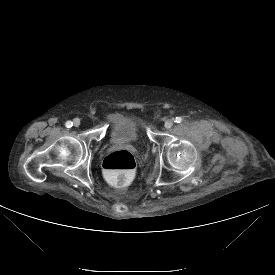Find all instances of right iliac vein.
Wrapping results in <instances>:
<instances>
[{
    "mask_svg": "<svg viewBox=\"0 0 275 275\" xmlns=\"http://www.w3.org/2000/svg\"><path fill=\"white\" fill-rule=\"evenodd\" d=\"M80 119H78V118H75L74 120H73V124H74V126L75 127H79V125H80Z\"/></svg>",
    "mask_w": 275,
    "mask_h": 275,
    "instance_id": "63e3f726",
    "label": "right iliac vein"
}]
</instances>
